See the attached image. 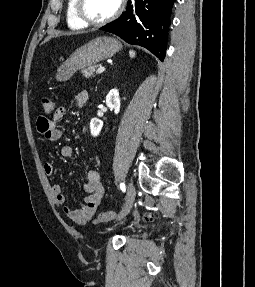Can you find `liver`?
<instances>
[{
	"label": "liver",
	"instance_id": "6515ba94",
	"mask_svg": "<svg viewBox=\"0 0 255 287\" xmlns=\"http://www.w3.org/2000/svg\"><path fill=\"white\" fill-rule=\"evenodd\" d=\"M67 36H71L70 32L69 34H67ZM51 38H54V36H47V38H45L44 42H42V44H45V42H49V40H51Z\"/></svg>",
	"mask_w": 255,
	"mask_h": 287
}]
</instances>
